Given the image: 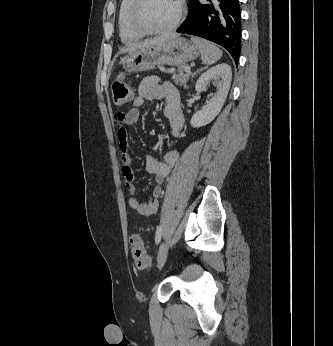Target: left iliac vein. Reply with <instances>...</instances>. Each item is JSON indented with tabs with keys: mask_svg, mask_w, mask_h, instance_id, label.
Returning <instances> with one entry per match:
<instances>
[{
	"mask_svg": "<svg viewBox=\"0 0 333 346\" xmlns=\"http://www.w3.org/2000/svg\"><path fill=\"white\" fill-rule=\"evenodd\" d=\"M167 255H168V243L163 242L159 247L158 255H157V266L159 269L164 265Z\"/></svg>",
	"mask_w": 333,
	"mask_h": 346,
	"instance_id": "4c4485c4",
	"label": "left iliac vein"
}]
</instances>
